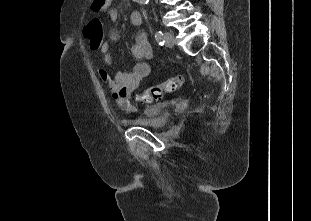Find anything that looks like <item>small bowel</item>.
<instances>
[{
	"mask_svg": "<svg viewBox=\"0 0 311 221\" xmlns=\"http://www.w3.org/2000/svg\"><path fill=\"white\" fill-rule=\"evenodd\" d=\"M108 13L112 20L118 19L120 14L119 9L116 7L109 8ZM130 18L134 25L142 23V14L139 11H133ZM85 29H88V25ZM118 39V32L111 30L108 34V42L101 47L103 62L106 66L113 64L112 48ZM131 52L138 61L130 71H119L113 79L105 69L99 71L100 79L108 87L112 99L126 111L136 109L132 99L142 79L150 74L152 68L150 63L144 61L154 59V50L145 33L141 32L136 35Z\"/></svg>",
	"mask_w": 311,
	"mask_h": 221,
	"instance_id": "small-bowel-1",
	"label": "small bowel"
}]
</instances>
